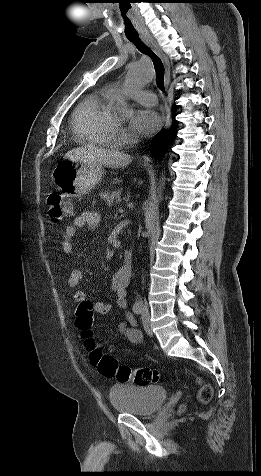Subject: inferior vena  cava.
I'll return each mask as SVG.
<instances>
[{
  "label": "inferior vena cava",
  "mask_w": 261,
  "mask_h": 476,
  "mask_svg": "<svg viewBox=\"0 0 261 476\" xmlns=\"http://www.w3.org/2000/svg\"><path fill=\"white\" fill-rule=\"evenodd\" d=\"M132 142H133L134 144L137 143V142H138L137 138H134V139L132 140ZM144 310H145V311H148V309H147V304H146V303L144 304Z\"/></svg>",
  "instance_id": "1"
}]
</instances>
